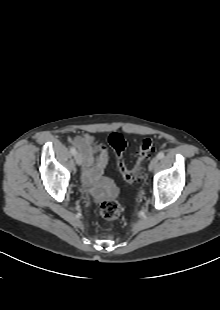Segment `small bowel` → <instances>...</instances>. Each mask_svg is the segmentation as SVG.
I'll use <instances>...</instances> for the list:
<instances>
[{
    "instance_id": "obj_1",
    "label": "small bowel",
    "mask_w": 220,
    "mask_h": 310,
    "mask_svg": "<svg viewBox=\"0 0 220 310\" xmlns=\"http://www.w3.org/2000/svg\"><path fill=\"white\" fill-rule=\"evenodd\" d=\"M78 148L83 158V183L94 198L100 199L115 191L111 179L103 177L108 162V152L104 145L97 144L94 136L84 133L69 139Z\"/></svg>"
}]
</instances>
